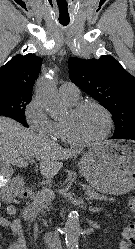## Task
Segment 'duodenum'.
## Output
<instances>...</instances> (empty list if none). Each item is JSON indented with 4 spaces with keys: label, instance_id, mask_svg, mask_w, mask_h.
<instances>
[{
    "label": "duodenum",
    "instance_id": "obj_1",
    "mask_svg": "<svg viewBox=\"0 0 135 249\" xmlns=\"http://www.w3.org/2000/svg\"><path fill=\"white\" fill-rule=\"evenodd\" d=\"M16 192H18L19 196H21L23 198H29V197H31L33 195V192H32V190L30 188L24 187V188H21L19 190H14L12 188H7L4 191V196L6 198H12Z\"/></svg>",
    "mask_w": 135,
    "mask_h": 249
}]
</instances>
